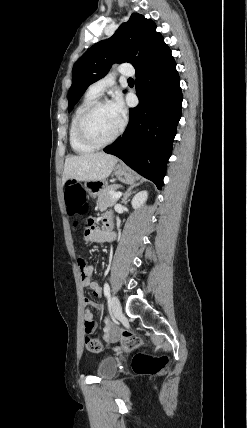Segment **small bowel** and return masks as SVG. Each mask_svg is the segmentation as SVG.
I'll use <instances>...</instances> for the list:
<instances>
[{
	"label": "small bowel",
	"instance_id": "small-bowel-1",
	"mask_svg": "<svg viewBox=\"0 0 247 428\" xmlns=\"http://www.w3.org/2000/svg\"><path fill=\"white\" fill-rule=\"evenodd\" d=\"M106 220H111L110 216L105 215L102 218L103 223ZM111 237L110 232H104L103 228H91L86 234L85 239L88 242H103L108 240ZM80 268V274H81V282L84 287L90 288L92 290V293L95 297H101L102 295V288L101 286L92 280V274L94 271V267L92 265H87L85 262L83 265H79ZM84 300H90L88 298H85ZM90 305H84V320L87 317H90L93 321L94 316L91 312ZM95 308V307H94Z\"/></svg>",
	"mask_w": 247,
	"mask_h": 428
}]
</instances>
